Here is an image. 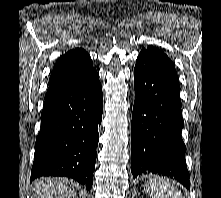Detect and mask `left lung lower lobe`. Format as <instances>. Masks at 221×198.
<instances>
[{
	"mask_svg": "<svg viewBox=\"0 0 221 198\" xmlns=\"http://www.w3.org/2000/svg\"><path fill=\"white\" fill-rule=\"evenodd\" d=\"M135 102L131 124V172L170 176L189 188L181 131L177 75L153 56L140 53L134 68Z\"/></svg>",
	"mask_w": 221,
	"mask_h": 198,
	"instance_id": "left-lung-lower-lobe-1",
	"label": "left lung lower lobe"
}]
</instances>
